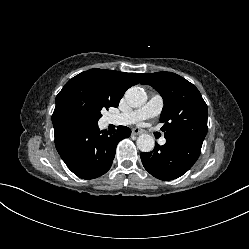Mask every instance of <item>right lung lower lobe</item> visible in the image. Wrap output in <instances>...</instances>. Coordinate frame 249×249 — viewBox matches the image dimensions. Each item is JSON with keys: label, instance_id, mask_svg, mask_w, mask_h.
Here are the masks:
<instances>
[{"label": "right lung lower lobe", "instance_id": "1", "mask_svg": "<svg viewBox=\"0 0 249 249\" xmlns=\"http://www.w3.org/2000/svg\"><path fill=\"white\" fill-rule=\"evenodd\" d=\"M55 145L67 167L78 177L93 179L111 167L119 141L131 130L118 126L100 131L97 123H88L67 114L52 115Z\"/></svg>", "mask_w": 249, "mask_h": 249}]
</instances>
